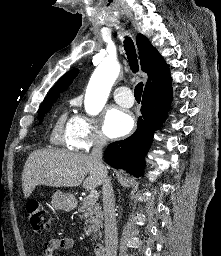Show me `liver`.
<instances>
[{
  "label": "liver",
  "instance_id": "1",
  "mask_svg": "<svg viewBox=\"0 0 221 256\" xmlns=\"http://www.w3.org/2000/svg\"><path fill=\"white\" fill-rule=\"evenodd\" d=\"M88 177L85 179V176ZM102 174L91 156L67 150L33 151L23 168L22 189L25 198L38 185L94 189L102 184Z\"/></svg>",
  "mask_w": 221,
  "mask_h": 256
}]
</instances>
